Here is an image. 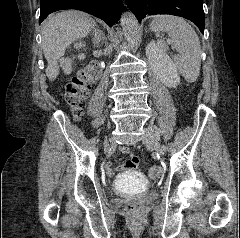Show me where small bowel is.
Returning <instances> with one entry per match:
<instances>
[{
    "label": "small bowel",
    "mask_w": 240,
    "mask_h": 238,
    "mask_svg": "<svg viewBox=\"0 0 240 238\" xmlns=\"http://www.w3.org/2000/svg\"><path fill=\"white\" fill-rule=\"evenodd\" d=\"M120 148L122 153L127 154V156H129V159H126V164H118L117 167H112L111 164H108L106 166V174L107 175H114L117 173L118 169H130L131 171L135 170V167H138L140 164V159L139 156H134V151H129L128 148L132 147L131 143H120ZM119 148V149H120ZM118 168V169H117Z\"/></svg>",
    "instance_id": "c3829d8e"
}]
</instances>
